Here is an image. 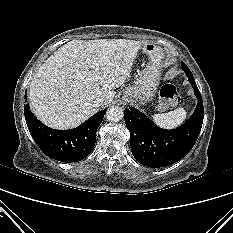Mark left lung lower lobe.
Returning <instances> with one entry per match:
<instances>
[{"mask_svg": "<svg viewBox=\"0 0 233 233\" xmlns=\"http://www.w3.org/2000/svg\"><path fill=\"white\" fill-rule=\"evenodd\" d=\"M188 80L193 86L198 103L191 117L176 129L159 128L135 108L130 107L124 111L125 124L131 136V150L142 165L160 168L174 164L196 143L203 123V101L193 76H188Z\"/></svg>", "mask_w": 233, "mask_h": 233, "instance_id": "left-lung-lower-lobe-1", "label": "left lung lower lobe"}]
</instances>
